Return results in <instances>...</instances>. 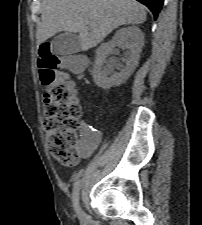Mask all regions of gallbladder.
Instances as JSON below:
<instances>
[{
  "label": "gallbladder",
  "instance_id": "gallbladder-1",
  "mask_svg": "<svg viewBox=\"0 0 202 225\" xmlns=\"http://www.w3.org/2000/svg\"><path fill=\"white\" fill-rule=\"evenodd\" d=\"M81 49L80 38L75 33L64 32L54 37L51 52L58 56L71 55Z\"/></svg>",
  "mask_w": 202,
  "mask_h": 225
}]
</instances>
